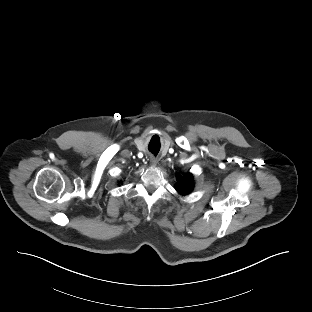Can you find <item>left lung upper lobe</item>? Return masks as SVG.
I'll return each mask as SVG.
<instances>
[{"label": "left lung upper lobe", "instance_id": "1", "mask_svg": "<svg viewBox=\"0 0 312 312\" xmlns=\"http://www.w3.org/2000/svg\"><path fill=\"white\" fill-rule=\"evenodd\" d=\"M179 182L176 184V190L180 194H188L193 189V177L190 173L184 175L183 177H178Z\"/></svg>", "mask_w": 312, "mask_h": 312}]
</instances>
